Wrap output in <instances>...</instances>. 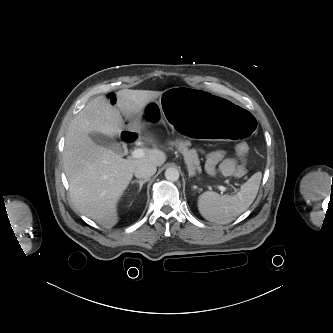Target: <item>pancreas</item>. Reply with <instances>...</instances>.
Instances as JSON below:
<instances>
[{"instance_id": "cf45deb5", "label": "pancreas", "mask_w": 333, "mask_h": 333, "mask_svg": "<svg viewBox=\"0 0 333 333\" xmlns=\"http://www.w3.org/2000/svg\"><path fill=\"white\" fill-rule=\"evenodd\" d=\"M171 145H175L177 149L183 154L189 176L195 175L196 171H200V161L198 158L197 151L195 149H189L191 146L188 140H177L170 142Z\"/></svg>"}]
</instances>
